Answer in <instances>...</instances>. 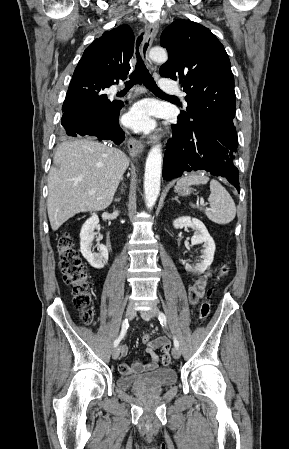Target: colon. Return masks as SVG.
Wrapping results in <instances>:
<instances>
[{
	"mask_svg": "<svg viewBox=\"0 0 289 449\" xmlns=\"http://www.w3.org/2000/svg\"><path fill=\"white\" fill-rule=\"evenodd\" d=\"M58 257L65 283L72 288L74 305L81 310L82 320L85 324H90L93 319V310L90 306L88 273L83 265L75 244L68 233L63 234L58 242ZM230 271L229 264H223L219 270L217 278L226 276ZM213 288L210 287L206 292V298L199 308V318L205 321L210 314V297ZM150 339L148 334L142 336V341L147 342ZM163 354V353H162ZM169 354V353H168ZM170 355V354H169Z\"/></svg>",
	"mask_w": 289,
	"mask_h": 449,
	"instance_id": "obj_1",
	"label": "colon"
}]
</instances>
